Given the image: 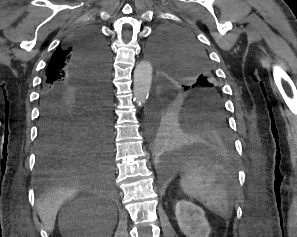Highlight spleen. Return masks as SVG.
I'll return each instance as SVG.
<instances>
[{"label":"spleen","instance_id":"3e777b00","mask_svg":"<svg viewBox=\"0 0 297 237\" xmlns=\"http://www.w3.org/2000/svg\"><path fill=\"white\" fill-rule=\"evenodd\" d=\"M180 186L186 195L199 200L211 212L222 218L230 215L226 184L216 168L194 166L181 177Z\"/></svg>","mask_w":297,"mask_h":237}]
</instances>
